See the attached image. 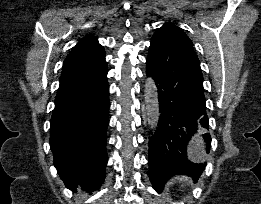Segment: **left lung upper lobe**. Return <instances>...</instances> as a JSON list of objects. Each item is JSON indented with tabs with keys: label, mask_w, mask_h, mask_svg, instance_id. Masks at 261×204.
Instances as JSON below:
<instances>
[{
	"label": "left lung upper lobe",
	"mask_w": 261,
	"mask_h": 204,
	"mask_svg": "<svg viewBox=\"0 0 261 204\" xmlns=\"http://www.w3.org/2000/svg\"><path fill=\"white\" fill-rule=\"evenodd\" d=\"M160 32H171V33L179 34L184 39H186L191 45H193L191 40L187 37V35L183 32V30L181 28H179V27L174 26L171 23L164 24L159 30H157L155 32V34L156 33H160Z\"/></svg>",
	"instance_id": "obj_1"
}]
</instances>
